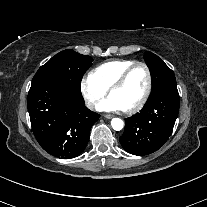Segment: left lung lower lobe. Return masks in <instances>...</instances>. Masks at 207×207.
<instances>
[{"label": "left lung lower lobe", "instance_id": "left-lung-lower-lobe-1", "mask_svg": "<svg viewBox=\"0 0 207 207\" xmlns=\"http://www.w3.org/2000/svg\"><path fill=\"white\" fill-rule=\"evenodd\" d=\"M178 112L177 88L155 93L149 97L140 113L125 120L124 133L120 137L122 147L133 155L155 152L171 135Z\"/></svg>", "mask_w": 207, "mask_h": 207}]
</instances>
